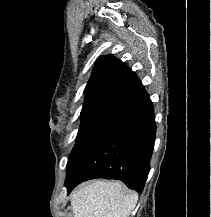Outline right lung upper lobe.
<instances>
[{
    "instance_id": "1",
    "label": "right lung upper lobe",
    "mask_w": 211,
    "mask_h": 217,
    "mask_svg": "<svg viewBox=\"0 0 211 217\" xmlns=\"http://www.w3.org/2000/svg\"><path fill=\"white\" fill-rule=\"evenodd\" d=\"M147 96L141 81L112 55L98 59L85 88L81 117H118Z\"/></svg>"
}]
</instances>
